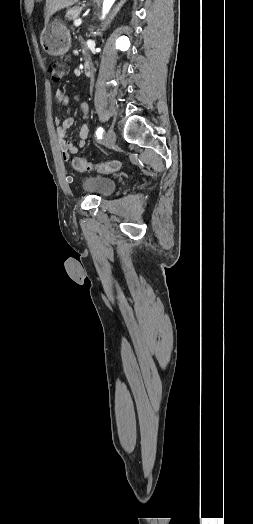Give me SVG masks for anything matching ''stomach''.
<instances>
[{
    "mask_svg": "<svg viewBox=\"0 0 253 524\" xmlns=\"http://www.w3.org/2000/svg\"><path fill=\"white\" fill-rule=\"evenodd\" d=\"M40 43L48 54L62 56L69 50L71 44L70 32L60 21H53L43 29Z\"/></svg>",
    "mask_w": 253,
    "mask_h": 524,
    "instance_id": "0dacf381",
    "label": "stomach"
}]
</instances>
